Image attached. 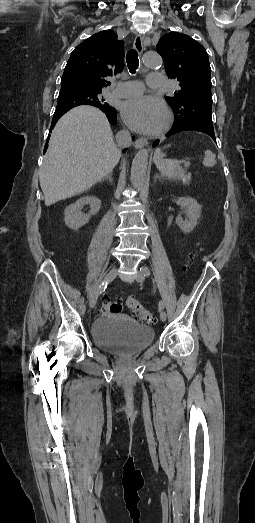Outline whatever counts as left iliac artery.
Segmentation results:
<instances>
[{
    "label": "left iliac artery",
    "mask_w": 255,
    "mask_h": 523,
    "mask_svg": "<svg viewBox=\"0 0 255 523\" xmlns=\"http://www.w3.org/2000/svg\"><path fill=\"white\" fill-rule=\"evenodd\" d=\"M140 270L143 272L144 276H149L150 275V270L148 267H142L140 268ZM158 306H159V309H163L164 308V302L163 301H159L158 303Z\"/></svg>",
    "instance_id": "obj_1"
}]
</instances>
